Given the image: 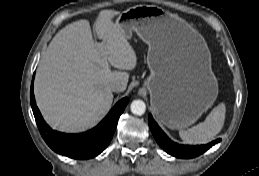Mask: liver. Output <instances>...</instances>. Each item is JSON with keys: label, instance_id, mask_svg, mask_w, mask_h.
<instances>
[{"label": "liver", "instance_id": "obj_1", "mask_svg": "<svg viewBox=\"0 0 259 176\" xmlns=\"http://www.w3.org/2000/svg\"><path fill=\"white\" fill-rule=\"evenodd\" d=\"M120 12H99L93 30L102 42L94 43L88 20L61 29L39 62L34 94L45 121L62 132H81L96 125L110 110V85L123 91L137 57L112 18ZM109 64L116 70H111Z\"/></svg>", "mask_w": 259, "mask_h": 176}]
</instances>
